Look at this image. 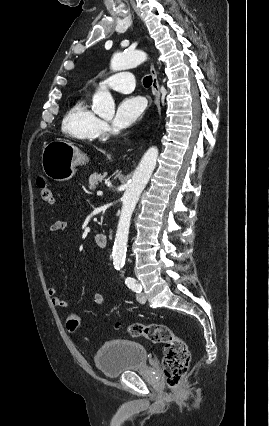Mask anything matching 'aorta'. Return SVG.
<instances>
[{
  "label": "aorta",
  "mask_w": 269,
  "mask_h": 426,
  "mask_svg": "<svg viewBox=\"0 0 269 426\" xmlns=\"http://www.w3.org/2000/svg\"><path fill=\"white\" fill-rule=\"evenodd\" d=\"M146 60L147 54L144 51H127L125 53L115 54L111 59L110 67L113 71L126 70ZM92 109L94 113L100 117H113L115 113V103L111 93L108 90H98L93 96ZM157 158V147H150L144 153L123 195L122 210L113 247L114 265H122L125 262L131 216L142 191L155 169Z\"/></svg>",
  "instance_id": "762f6f07"
}]
</instances>
